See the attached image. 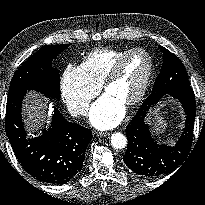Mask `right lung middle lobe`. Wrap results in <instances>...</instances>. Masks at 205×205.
<instances>
[{"label":"right lung middle lobe","instance_id":"right-lung-middle-lobe-1","mask_svg":"<svg viewBox=\"0 0 205 205\" xmlns=\"http://www.w3.org/2000/svg\"><path fill=\"white\" fill-rule=\"evenodd\" d=\"M70 44L42 46L13 75L8 94L16 91L36 90L49 98H60V75L52 61Z\"/></svg>","mask_w":205,"mask_h":205}]
</instances>
